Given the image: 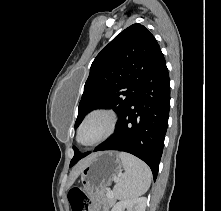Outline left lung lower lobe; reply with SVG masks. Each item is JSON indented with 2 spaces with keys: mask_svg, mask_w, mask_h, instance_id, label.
Returning a JSON list of instances; mask_svg holds the SVG:
<instances>
[{
  "mask_svg": "<svg viewBox=\"0 0 221 211\" xmlns=\"http://www.w3.org/2000/svg\"><path fill=\"white\" fill-rule=\"evenodd\" d=\"M170 108V80L160 52L145 79L118 121L115 133L94 149L131 153L148 164L156 180Z\"/></svg>",
  "mask_w": 221,
  "mask_h": 211,
  "instance_id": "obj_1",
  "label": "left lung lower lobe"
}]
</instances>
